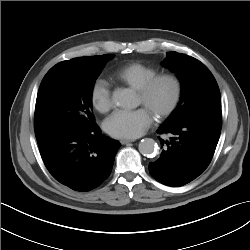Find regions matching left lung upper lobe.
Segmentation results:
<instances>
[{
	"label": "left lung upper lobe",
	"mask_w": 250,
	"mask_h": 250,
	"mask_svg": "<svg viewBox=\"0 0 250 250\" xmlns=\"http://www.w3.org/2000/svg\"><path fill=\"white\" fill-rule=\"evenodd\" d=\"M162 64L177 74L182 86L180 101L163 125L174 126L190 117L221 111L218 85L203 63L184 54L168 52Z\"/></svg>",
	"instance_id": "5c2ea615"
}]
</instances>
